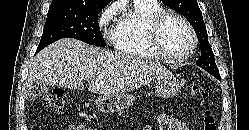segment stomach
<instances>
[{
  "instance_id": "obj_1",
  "label": "stomach",
  "mask_w": 249,
  "mask_h": 130,
  "mask_svg": "<svg viewBox=\"0 0 249 130\" xmlns=\"http://www.w3.org/2000/svg\"><path fill=\"white\" fill-rule=\"evenodd\" d=\"M182 87L181 81L173 74H168L156 79L155 93L162 98L175 96ZM135 97L122 93L114 95H102L96 99L97 108L104 113H115L133 105Z\"/></svg>"
}]
</instances>
